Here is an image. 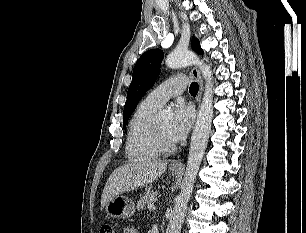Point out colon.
<instances>
[{"mask_svg":"<svg viewBox=\"0 0 306 233\" xmlns=\"http://www.w3.org/2000/svg\"><path fill=\"white\" fill-rule=\"evenodd\" d=\"M100 233H115L113 225L105 223L100 228Z\"/></svg>","mask_w":306,"mask_h":233,"instance_id":"5ec220e1","label":"colon"}]
</instances>
